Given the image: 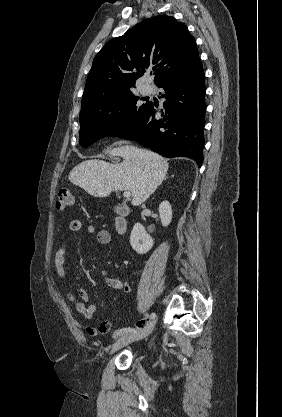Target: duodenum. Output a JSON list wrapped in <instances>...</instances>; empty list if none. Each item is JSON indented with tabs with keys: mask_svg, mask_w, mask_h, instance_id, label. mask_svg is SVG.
I'll return each mask as SVG.
<instances>
[{
	"mask_svg": "<svg viewBox=\"0 0 282 417\" xmlns=\"http://www.w3.org/2000/svg\"><path fill=\"white\" fill-rule=\"evenodd\" d=\"M114 225H115V229L118 235L124 236L126 234L128 223H127V218L125 215L123 214L118 215L115 218Z\"/></svg>",
	"mask_w": 282,
	"mask_h": 417,
	"instance_id": "410a0bca",
	"label": "duodenum"
}]
</instances>
